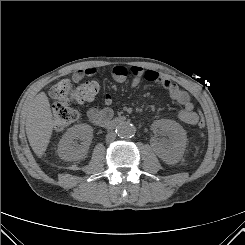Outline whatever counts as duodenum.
<instances>
[{"mask_svg": "<svg viewBox=\"0 0 245 245\" xmlns=\"http://www.w3.org/2000/svg\"><path fill=\"white\" fill-rule=\"evenodd\" d=\"M125 119L122 117L115 118L112 120H107L101 123V126L108 128V129H113L116 128L118 125H120Z\"/></svg>", "mask_w": 245, "mask_h": 245, "instance_id": "obj_1", "label": "duodenum"}]
</instances>
